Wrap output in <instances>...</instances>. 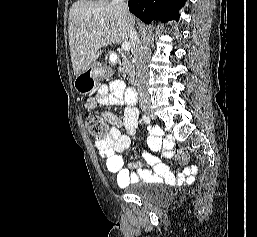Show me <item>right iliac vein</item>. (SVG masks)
<instances>
[{
  "label": "right iliac vein",
  "mask_w": 257,
  "mask_h": 237,
  "mask_svg": "<svg viewBox=\"0 0 257 237\" xmlns=\"http://www.w3.org/2000/svg\"><path fill=\"white\" fill-rule=\"evenodd\" d=\"M144 111H145L146 114H148L150 116H153V113H152L150 107H144Z\"/></svg>",
  "instance_id": "obj_1"
}]
</instances>
